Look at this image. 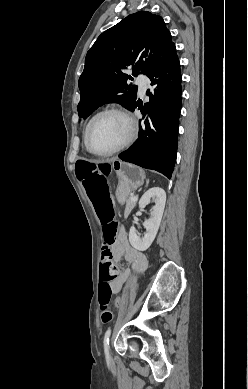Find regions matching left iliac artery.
Wrapping results in <instances>:
<instances>
[{
  "label": "left iliac artery",
  "mask_w": 248,
  "mask_h": 389,
  "mask_svg": "<svg viewBox=\"0 0 248 389\" xmlns=\"http://www.w3.org/2000/svg\"><path fill=\"white\" fill-rule=\"evenodd\" d=\"M110 334H111V329L109 328L104 335V350H105L106 359H109L108 345H109Z\"/></svg>",
  "instance_id": "44dca946"
}]
</instances>
